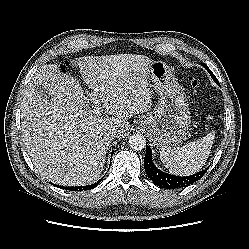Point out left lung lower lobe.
Instances as JSON below:
<instances>
[{"label": "left lung lower lobe", "instance_id": "left-lung-lower-lobe-1", "mask_svg": "<svg viewBox=\"0 0 249 249\" xmlns=\"http://www.w3.org/2000/svg\"><path fill=\"white\" fill-rule=\"evenodd\" d=\"M144 168L148 177L159 187L162 188H182L199 180L206 172L202 170L196 174L186 177L174 176L157 169L152 162V152L146 145V155L144 158Z\"/></svg>", "mask_w": 249, "mask_h": 249}]
</instances>
